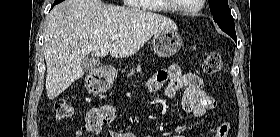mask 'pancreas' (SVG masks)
Masks as SVG:
<instances>
[{
    "label": "pancreas",
    "mask_w": 280,
    "mask_h": 137,
    "mask_svg": "<svg viewBox=\"0 0 280 137\" xmlns=\"http://www.w3.org/2000/svg\"><path fill=\"white\" fill-rule=\"evenodd\" d=\"M137 71H141V65H138ZM134 73H135V71L132 69V70L130 71V73L127 74V76H128V77H131V76L134 75Z\"/></svg>",
    "instance_id": "1"
}]
</instances>
